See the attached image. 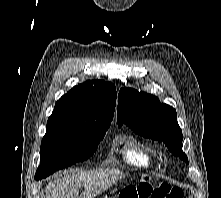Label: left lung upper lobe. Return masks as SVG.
I'll list each match as a JSON object with an SVG mask.
<instances>
[{"label":"left lung upper lobe","mask_w":221,"mask_h":198,"mask_svg":"<svg viewBox=\"0 0 221 198\" xmlns=\"http://www.w3.org/2000/svg\"><path fill=\"white\" fill-rule=\"evenodd\" d=\"M118 126L126 124L140 136L165 143L175 156L188 163L182 151V131L174 108L158 98L131 88H122L118 95Z\"/></svg>","instance_id":"left-lung-upper-lobe-1"}]
</instances>
